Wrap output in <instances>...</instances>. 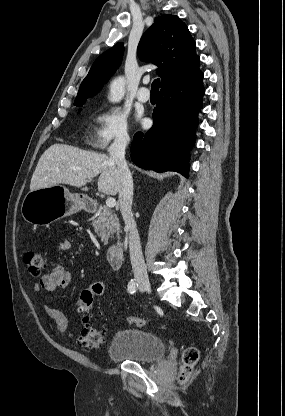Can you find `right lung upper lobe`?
<instances>
[{
    "mask_svg": "<svg viewBox=\"0 0 285 416\" xmlns=\"http://www.w3.org/2000/svg\"><path fill=\"white\" fill-rule=\"evenodd\" d=\"M195 48L187 26L177 16L162 15L156 17L154 24L143 34L137 53L141 60L159 66L157 74L161 77L163 88L200 72V58ZM122 55L123 43H117L95 60L80 85L75 106H82L101 90L120 66Z\"/></svg>",
    "mask_w": 285,
    "mask_h": 416,
    "instance_id": "right-lung-upper-lobe-1",
    "label": "right lung upper lobe"
}]
</instances>
